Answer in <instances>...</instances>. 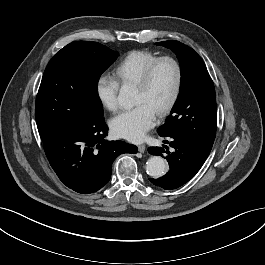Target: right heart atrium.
Listing matches in <instances>:
<instances>
[{"instance_id": "d8ad5b80", "label": "right heart atrium", "mask_w": 265, "mask_h": 265, "mask_svg": "<svg viewBox=\"0 0 265 265\" xmlns=\"http://www.w3.org/2000/svg\"><path fill=\"white\" fill-rule=\"evenodd\" d=\"M118 81L106 74L100 75L95 83V93L99 103L109 111H116L118 108Z\"/></svg>"}]
</instances>
